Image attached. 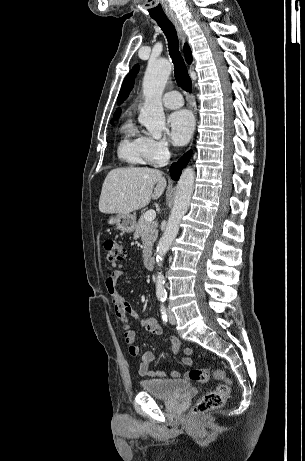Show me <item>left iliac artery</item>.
Returning <instances> with one entry per match:
<instances>
[{
	"label": "left iliac artery",
	"instance_id": "left-iliac-artery-1",
	"mask_svg": "<svg viewBox=\"0 0 305 461\" xmlns=\"http://www.w3.org/2000/svg\"><path fill=\"white\" fill-rule=\"evenodd\" d=\"M159 298H160L161 301H165V300H166V296H163V295H161Z\"/></svg>",
	"mask_w": 305,
	"mask_h": 461
}]
</instances>
